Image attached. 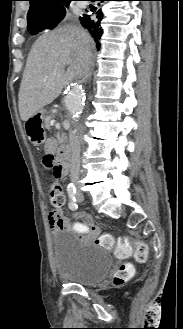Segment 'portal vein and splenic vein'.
<instances>
[{"instance_id":"1","label":"portal vein and splenic vein","mask_w":183,"mask_h":329,"mask_svg":"<svg viewBox=\"0 0 183 329\" xmlns=\"http://www.w3.org/2000/svg\"><path fill=\"white\" fill-rule=\"evenodd\" d=\"M54 123H55V120H51L50 124L54 125Z\"/></svg>"}]
</instances>
